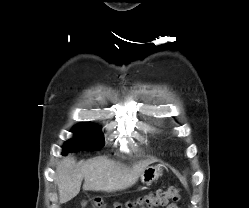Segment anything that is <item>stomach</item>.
Segmentation results:
<instances>
[{
    "instance_id": "1",
    "label": "stomach",
    "mask_w": 249,
    "mask_h": 208,
    "mask_svg": "<svg viewBox=\"0 0 249 208\" xmlns=\"http://www.w3.org/2000/svg\"><path fill=\"white\" fill-rule=\"evenodd\" d=\"M162 175V170L159 165L148 166L140 174V180L143 184L151 185L153 181L157 180Z\"/></svg>"
}]
</instances>
